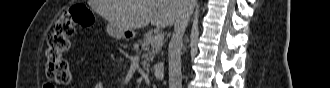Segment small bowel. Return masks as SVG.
<instances>
[{
  "label": "small bowel",
  "instance_id": "obj_1",
  "mask_svg": "<svg viewBox=\"0 0 330 88\" xmlns=\"http://www.w3.org/2000/svg\"><path fill=\"white\" fill-rule=\"evenodd\" d=\"M99 70H100V72H101L102 75H105V71H104V69L100 68ZM100 87H101V86H100Z\"/></svg>",
  "mask_w": 330,
  "mask_h": 88
}]
</instances>
